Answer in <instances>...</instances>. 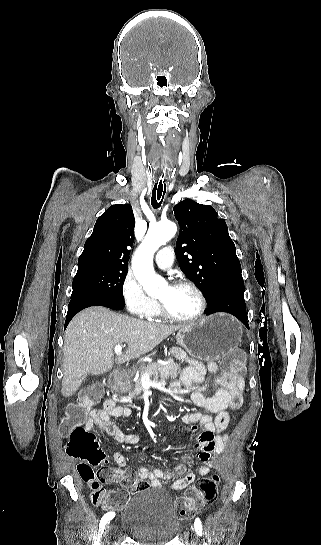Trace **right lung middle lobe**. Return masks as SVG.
I'll list each match as a JSON object with an SVG mask.
<instances>
[{
	"label": "right lung middle lobe",
	"mask_w": 321,
	"mask_h": 545,
	"mask_svg": "<svg viewBox=\"0 0 321 545\" xmlns=\"http://www.w3.org/2000/svg\"><path fill=\"white\" fill-rule=\"evenodd\" d=\"M127 268L86 266L78 268L72 282L71 300L82 296L101 297L124 303L123 284Z\"/></svg>",
	"instance_id": "1"
}]
</instances>
